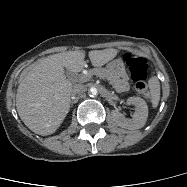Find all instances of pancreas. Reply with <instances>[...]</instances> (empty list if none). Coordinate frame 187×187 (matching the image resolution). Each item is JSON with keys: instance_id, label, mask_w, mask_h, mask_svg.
Listing matches in <instances>:
<instances>
[{"instance_id": "pancreas-1", "label": "pancreas", "mask_w": 187, "mask_h": 187, "mask_svg": "<svg viewBox=\"0 0 187 187\" xmlns=\"http://www.w3.org/2000/svg\"><path fill=\"white\" fill-rule=\"evenodd\" d=\"M93 75L101 76L104 79L108 80L112 85L113 88L118 92L122 93L123 91L127 90L128 84L124 83L125 81H122L121 79L115 78L113 75L110 74V72L106 69H94L89 72V75L84 76V81L89 80Z\"/></svg>"}]
</instances>
